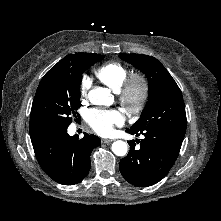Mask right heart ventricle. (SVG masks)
Returning <instances> with one entry per match:
<instances>
[{"label": "right heart ventricle", "mask_w": 221, "mask_h": 221, "mask_svg": "<svg viewBox=\"0 0 221 221\" xmlns=\"http://www.w3.org/2000/svg\"><path fill=\"white\" fill-rule=\"evenodd\" d=\"M96 77L113 91L118 92L129 76V70L119 62L104 63L95 70Z\"/></svg>", "instance_id": "1"}]
</instances>
